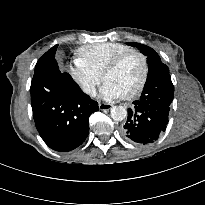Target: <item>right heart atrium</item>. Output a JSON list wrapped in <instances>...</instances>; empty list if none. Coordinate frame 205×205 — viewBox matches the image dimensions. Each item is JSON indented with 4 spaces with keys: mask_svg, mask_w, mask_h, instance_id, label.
Returning a JSON list of instances; mask_svg holds the SVG:
<instances>
[{
    "mask_svg": "<svg viewBox=\"0 0 205 205\" xmlns=\"http://www.w3.org/2000/svg\"><path fill=\"white\" fill-rule=\"evenodd\" d=\"M72 79L88 96H93L101 81V75L91 69L80 59H75L69 69Z\"/></svg>",
    "mask_w": 205,
    "mask_h": 205,
    "instance_id": "1",
    "label": "right heart atrium"
}]
</instances>
